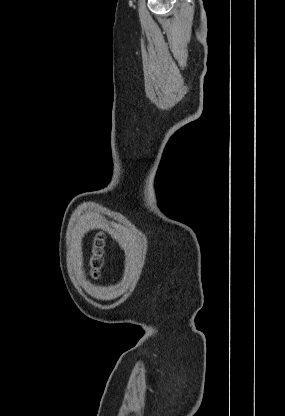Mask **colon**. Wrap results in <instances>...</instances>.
Here are the masks:
<instances>
[{"instance_id": "obj_1", "label": "colon", "mask_w": 285, "mask_h": 416, "mask_svg": "<svg viewBox=\"0 0 285 416\" xmlns=\"http://www.w3.org/2000/svg\"><path fill=\"white\" fill-rule=\"evenodd\" d=\"M104 240L96 237L93 241L89 259V273L91 277L97 278L103 265Z\"/></svg>"}]
</instances>
